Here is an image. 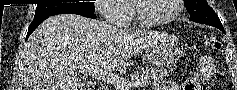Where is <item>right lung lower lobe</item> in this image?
<instances>
[{
  "label": "right lung lower lobe",
  "instance_id": "98d812e1",
  "mask_svg": "<svg viewBox=\"0 0 237 90\" xmlns=\"http://www.w3.org/2000/svg\"><path fill=\"white\" fill-rule=\"evenodd\" d=\"M70 13L82 15V16L89 17V18H96V15L93 12L83 11V10H72V11H67V12L59 13V14H70ZM48 17L34 20L28 28V33H27L26 39H28V37L31 35V33Z\"/></svg>",
  "mask_w": 237,
  "mask_h": 90
}]
</instances>
